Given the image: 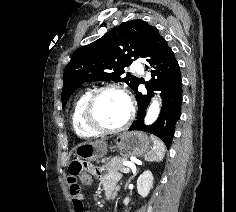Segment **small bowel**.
Wrapping results in <instances>:
<instances>
[{"label":"small bowel","mask_w":236,"mask_h":212,"mask_svg":"<svg viewBox=\"0 0 236 212\" xmlns=\"http://www.w3.org/2000/svg\"><path fill=\"white\" fill-rule=\"evenodd\" d=\"M103 187L107 190L112 192L116 191L117 188V181H118V174L115 172H108L101 175ZM65 179L68 180V191L70 192L74 212H84L83 211V202H82V188L81 186V179H78V175H66Z\"/></svg>","instance_id":"small-bowel-1"}]
</instances>
